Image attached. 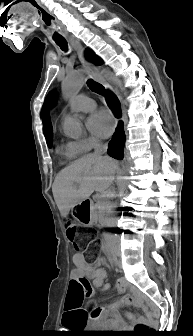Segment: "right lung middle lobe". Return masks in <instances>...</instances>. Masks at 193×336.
<instances>
[{
    "mask_svg": "<svg viewBox=\"0 0 193 336\" xmlns=\"http://www.w3.org/2000/svg\"><path fill=\"white\" fill-rule=\"evenodd\" d=\"M47 145H48V147H51V145H52L51 140H47Z\"/></svg>",
    "mask_w": 193,
    "mask_h": 336,
    "instance_id": "1",
    "label": "right lung middle lobe"
}]
</instances>
